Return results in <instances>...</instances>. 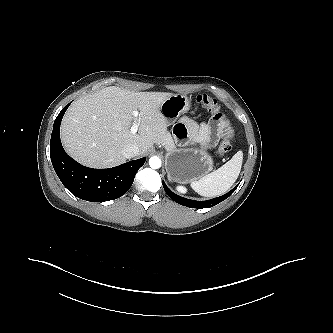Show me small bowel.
Segmentation results:
<instances>
[{"mask_svg":"<svg viewBox=\"0 0 333 333\" xmlns=\"http://www.w3.org/2000/svg\"><path fill=\"white\" fill-rule=\"evenodd\" d=\"M180 126V135L185 133L181 135L182 137H188L195 143L204 147H210L215 145L222 136L226 123L223 114H220L214 115L209 121L203 122L200 126L189 118H183Z\"/></svg>","mask_w":333,"mask_h":333,"instance_id":"obj_1","label":"small bowel"}]
</instances>
